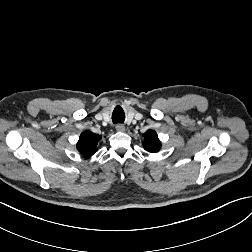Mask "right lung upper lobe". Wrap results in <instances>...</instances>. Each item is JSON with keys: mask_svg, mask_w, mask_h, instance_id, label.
Listing matches in <instances>:
<instances>
[{"mask_svg": "<svg viewBox=\"0 0 252 252\" xmlns=\"http://www.w3.org/2000/svg\"><path fill=\"white\" fill-rule=\"evenodd\" d=\"M101 140V136L90 131H84L77 143L78 151L86 157H90L97 152V144Z\"/></svg>", "mask_w": 252, "mask_h": 252, "instance_id": "1", "label": "right lung upper lobe"}]
</instances>
